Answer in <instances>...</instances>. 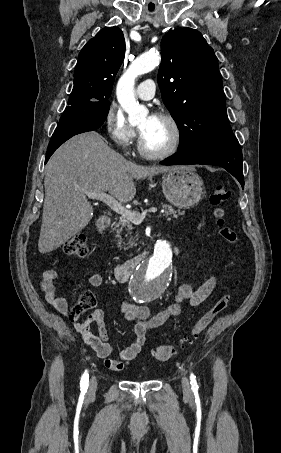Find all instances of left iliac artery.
<instances>
[{"instance_id":"44dca946","label":"left iliac artery","mask_w":281,"mask_h":453,"mask_svg":"<svg viewBox=\"0 0 281 453\" xmlns=\"http://www.w3.org/2000/svg\"><path fill=\"white\" fill-rule=\"evenodd\" d=\"M195 378H196V376L191 374V376H190V380H191L190 384L192 385V387H191L192 391H197L198 390V385H197V382H196Z\"/></svg>"}]
</instances>
